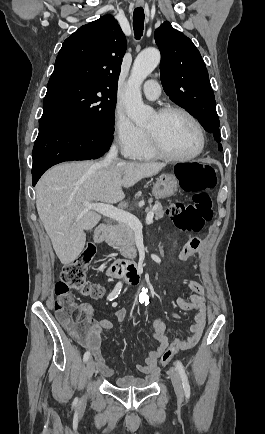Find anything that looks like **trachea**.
<instances>
[{"mask_svg": "<svg viewBox=\"0 0 265 434\" xmlns=\"http://www.w3.org/2000/svg\"><path fill=\"white\" fill-rule=\"evenodd\" d=\"M145 14L142 7L135 8L133 12V28L136 38H140L143 33Z\"/></svg>", "mask_w": 265, "mask_h": 434, "instance_id": "1", "label": "trachea"}]
</instances>
